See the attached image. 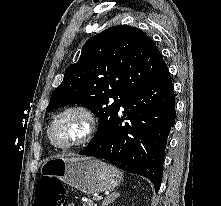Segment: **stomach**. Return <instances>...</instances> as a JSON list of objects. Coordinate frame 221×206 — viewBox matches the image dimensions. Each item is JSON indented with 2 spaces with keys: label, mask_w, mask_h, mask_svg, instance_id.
<instances>
[{
  "label": "stomach",
  "mask_w": 221,
  "mask_h": 206,
  "mask_svg": "<svg viewBox=\"0 0 221 206\" xmlns=\"http://www.w3.org/2000/svg\"><path fill=\"white\" fill-rule=\"evenodd\" d=\"M41 172L86 194L112 190L123 180L119 170L92 157L50 158L42 165Z\"/></svg>",
  "instance_id": "stomach-1"
}]
</instances>
